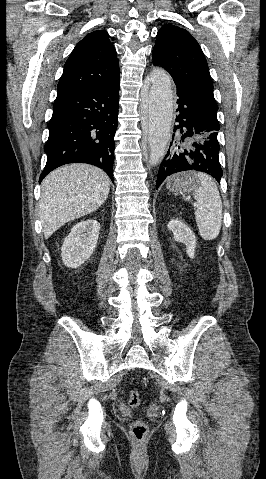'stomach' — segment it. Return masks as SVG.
Returning a JSON list of instances; mask_svg holds the SVG:
<instances>
[{
  "mask_svg": "<svg viewBox=\"0 0 266 479\" xmlns=\"http://www.w3.org/2000/svg\"><path fill=\"white\" fill-rule=\"evenodd\" d=\"M200 181L197 179L194 172H186L175 175L168 180L167 188L177 193H189L194 188L198 187Z\"/></svg>",
  "mask_w": 266,
  "mask_h": 479,
  "instance_id": "0dacf381",
  "label": "stomach"
}]
</instances>
